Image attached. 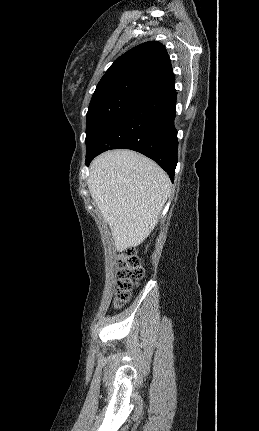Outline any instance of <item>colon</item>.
Here are the masks:
<instances>
[{
    "instance_id": "1",
    "label": "colon",
    "mask_w": 259,
    "mask_h": 431,
    "mask_svg": "<svg viewBox=\"0 0 259 431\" xmlns=\"http://www.w3.org/2000/svg\"><path fill=\"white\" fill-rule=\"evenodd\" d=\"M118 282L114 306L122 307L131 297V292L144 276V269L134 249L125 250L118 259Z\"/></svg>"
}]
</instances>
